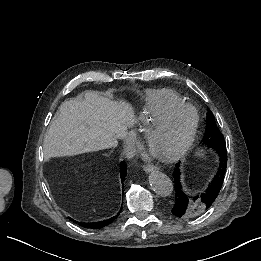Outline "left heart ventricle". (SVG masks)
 <instances>
[{
	"instance_id": "left-heart-ventricle-1",
	"label": "left heart ventricle",
	"mask_w": 261,
	"mask_h": 261,
	"mask_svg": "<svg viewBox=\"0 0 261 261\" xmlns=\"http://www.w3.org/2000/svg\"><path fill=\"white\" fill-rule=\"evenodd\" d=\"M190 123L191 114L177 110L152 125L145 139L150 152L163 156L179 149L186 138Z\"/></svg>"
}]
</instances>
